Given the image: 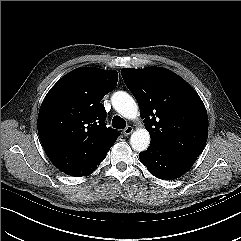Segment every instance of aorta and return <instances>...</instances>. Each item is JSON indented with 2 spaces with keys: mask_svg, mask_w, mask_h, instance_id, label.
Here are the masks:
<instances>
[{
  "mask_svg": "<svg viewBox=\"0 0 241 241\" xmlns=\"http://www.w3.org/2000/svg\"><path fill=\"white\" fill-rule=\"evenodd\" d=\"M114 109L126 119L137 118L138 105L135 100L124 91H117L111 97ZM150 144V134L145 128H138L130 138L131 147L138 152L145 151Z\"/></svg>",
  "mask_w": 241,
  "mask_h": 241,
  "instance_id": "1",
  "label": "aorta"
}]
</instances>
